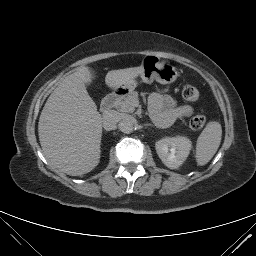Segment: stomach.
I'll return each mask as SVG.
<instances>
[{
    "instance_id": "stomach-1",
    "label": "stomach",
    "mask_w": 256,
    "mask_h": 256,
    "mask_svg": "<svg viewBox=\"0 0 256 256\" xmlns=\"http://www.w3.org/2000/svg\"><path fill=\"white\" fill-rule=\"evenodd\" d=\"M142 71L139 77L145 83H152L156 80L158 83L166 85L175 82L178 77L176 68L169 63L160 62L154 56H146L142 61ZM137 86L136 78H133L117 87L121 93H131Z\"/></svg>"
}]
</instances>
